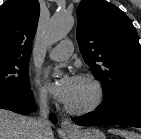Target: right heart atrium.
Returning <instances> with one entry per match:
<instances>
[{"instance_id":"obj_1","label":"right heart atrium","mask_w":141,"mask_h":139,"mask_svg":"<svg viewBox=\"0 0 141 139\" xmlns=\"http://www.w3.org/2000/svg\"><path fill=\"white\" fill-rule=\"evenodd\" d=\"M35 94L40 103L44 104L47 102L48 95L38 83H35Z\"/></svg>"}]
</instances>
